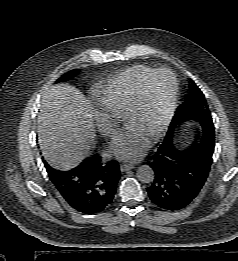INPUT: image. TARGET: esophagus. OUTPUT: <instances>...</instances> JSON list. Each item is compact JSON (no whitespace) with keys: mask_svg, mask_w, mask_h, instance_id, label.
Here are the masks:
<instances>
[{"mask_svg":"<svg viewBox=\"0 0 238 261\" xmlns=\"http://www.w3.org/2000/svg\"><path fill=\"white\" fill-rule=\"evenodd\" d=\"M135 166L133 164H129V163H122L120 164V170L122 172L124 171H128V170H131L133 169Z\"/></svg>","mask_w":238,"mask_h":261,"instance_id":"esophagus-1","label":"esophagus"}]
</instances>
